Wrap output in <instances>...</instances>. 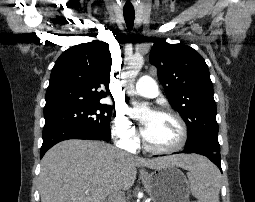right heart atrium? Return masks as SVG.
Wrapping results in <instances>:
<instances>
[{
    "mask_svg": "<svg viewBox=\"0 0 255 202\" xmlns=\"http://www.w3.org/2000/svg\"><path fill=\"white\" fill-rule=\"evenodd\" d=\"M111 129L114 139L121 147L127 150L136 149L139 141L138 132L123 110L115 112Z\"/></svg>",
    "mask_w": 255,
    "mask_h": 202,
    "instance_id": "1",
    "label": "right heart atrium"
}]
</instances>
